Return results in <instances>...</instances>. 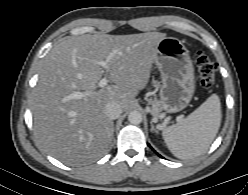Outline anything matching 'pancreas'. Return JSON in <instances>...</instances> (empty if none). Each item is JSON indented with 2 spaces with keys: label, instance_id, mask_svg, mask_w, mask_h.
<instances>
[{
  "label": "pancreas",
  "instance_id": "cf45deb5",
  "mask_svg": "<svg viewBox=\"0 0 248 195\" xmlns=\"http://www.w3.org/2000/svg\"><path fill=\"white\" fill-rule=\"evenodd\" d=\"M159 112H160V103L157 100H154L152 102V109H151V114L155 117L159 116Z\"/></svg>",
  "mask_w": 248,
  "mask_h": 195
}]
</instances>
